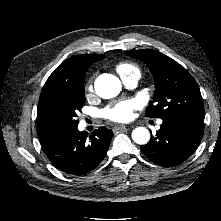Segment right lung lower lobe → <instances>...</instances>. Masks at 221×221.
<instances>
[{
  "mask_svg": "<svg viewBox=\"0 0 221 221\" xmlns=\"http://www.w3.org/2000/svg\"><path fill=\"white\" fill-rule=\"evenodd\" d=\"M113 132L105 127L96 129L91 136L77 128L40 140L50 162L72 175L93 170L105 157Z\"/></svg>",
  "mask_w": 221,
  "mask_h": 221,
  "instance_id": "1",
  "label": "right lung lower lobe"
}]
</instances>
